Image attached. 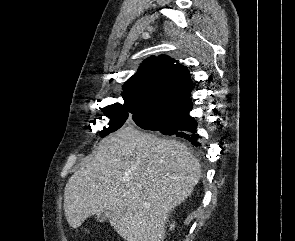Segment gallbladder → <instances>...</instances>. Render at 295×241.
<instances>
[{
	"label": "gallbladder",
	"instance_id": "bac80fb5",
	"mask_svg": "<svg viewBox=\"0 0 295 241\" xmlns=\"http://www.w3.org/2000/svg\"><path fill=\"white\" fill-rule=\"evenodd\" d=\"M106 219H107V216H106V212H105V211L102 212V213H100V214L96 217V220H97L98 222H105Z\"/></svg>",
	"mask_w": 295,
	"mask_h": 241
}]
</instances>
